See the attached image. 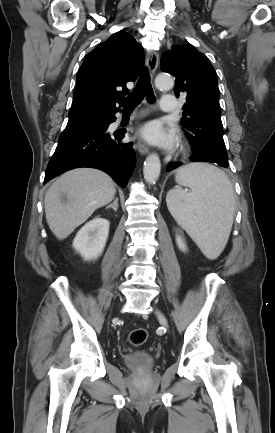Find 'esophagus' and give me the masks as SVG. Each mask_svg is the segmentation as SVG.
Masks as SVG:
<instances>
[{
    "mask_svg": "<svg viewBox=\"0 0 275 433\" xmlns=\"http://www.w3.org/2000/svg\"><path fill=\"white\" fill-rule=\"evenodd\" d=\"M146 67L151 76L154 75L158 64H159V54L157 51H150L146 58ZM136 147L140 154H147L149 152L148 146L141 140H139L136 144Z\"/></svg>",
    "mask_w": 275,
    "mask_h": 433,
    "instance_id": "esophagus-1",
    "label": "esophagus"
}]
</instances>
